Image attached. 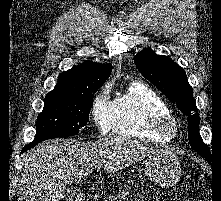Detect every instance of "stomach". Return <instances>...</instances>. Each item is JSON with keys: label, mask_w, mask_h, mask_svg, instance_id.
Returning a JSON list of instances; mask_svg holds the SVG:
<instances>
[{"label": "stomach", "mask_w": 221, "mask_h": 201, "mask_svg": "<svg viewBox=\"0 0 221 201\" xmlns=\"http://www.w3.org/2000/svg\"><path fill=\"white\" fill-rule=\"evenodd\" d=\"M145 172L154 184L166 188L176 184L181 175V166L172 151H164L147 156Z\"/></svg>", "instance_id": "obj_1"}]
</instances>
